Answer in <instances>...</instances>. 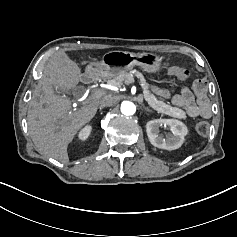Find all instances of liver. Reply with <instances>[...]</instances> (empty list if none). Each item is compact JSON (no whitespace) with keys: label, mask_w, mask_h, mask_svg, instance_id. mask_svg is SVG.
I'll use <instances>...</instances> for the list:
<instances>
[{"label":"liver","mask_w":237,"mask_h":237,"mask_svg":"<svg viewBox=\"0 0 237 237\" xmlns=\"http://www.w3.org/2000/svg\"><path fill=\"white\" fill-rule=\"evenodd\" d=\"M90 61L83 60L81 65ZM80 69L68 55H54L47 63L45 73L38 81L35 95L28 104V130L31 139L41 155L50 156L63 164L69 163L67 148L77 133L95 116L100 105L99 100L72 111L68 98L62 99L54 93L53 86L69 91L79 82Z\"/></svg>","instance_id":"liver-1"}]
</instances>
